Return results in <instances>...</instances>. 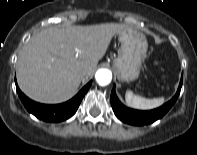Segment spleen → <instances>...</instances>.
<instances>
[{"instance_id":"3e777b00","label":"spleen","mask_w":197,"mask_h":155,"mask_svg":"<svg viewBox=\"0 0 197 155\" xmlns=\"http://www.w3.org/2000/svg\"><path fill=\"white\" fill-rule=\"evenodd\" d=\"M125 100L129 107L141 110H148L159 107L165 101L163 97L146 99L135 95L131 90L126 91Z\"/></svg>"}]
</instances>
